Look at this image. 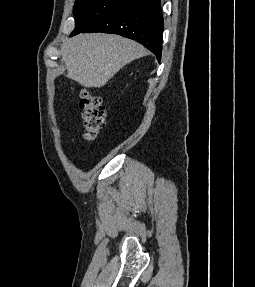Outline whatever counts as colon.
<instances>
[{
  "label": "colon",
  "instance_id": "5ec220e1",
  "mask_svg": "<svg viewBox=\"0 0 255 287\" xmlns=\"http://www.w3.org/2000/svg\"><path fill=\"white\" fill-rule=\"evenodd\" d=\"M79 105L84 126L83 136L86 141L93 142L106 123V114L101 98L88 90H83Z\"/></svg>",
  "mask_w": 255,
  "mask_h": 287
}]
</instances>
